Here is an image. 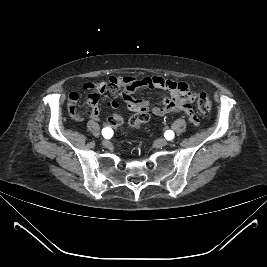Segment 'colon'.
Instances as JSON below:
<instances>
[{
  "mask_svg": "<svg viewBox=\"0 0 267 267\" xmlns=\"http://www.w3.org/2000/svg\"><path fill=\"white\" fill-rule=\"evenodd\" d=\"M197 107L203 114H208L212 108V102L206 92L199 90L197 93ZM150 118V112L145 108H139L130 119V125L133 128H139ZM112 128H118L122 123V118L118 113H113L107 121Z\"/></svg>",
  "mask_w": 267,
  "mask_h": 267,
  "instance_id": "5ec220e1",
  "label": "colon"
}]
</instances>
